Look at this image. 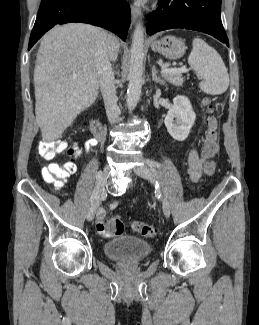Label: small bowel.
I'll list each match as a JSON object with an SVG mask.
<instances>
[{
  "instance_id": "obj_1",
  "label": "small bowel",
  "mask_w": 259,
  "mask_h": 325,
  "mask_svg": "<svg viewBox=\"0 0 259 325\" xmlns=\"http://www.w3.org/2000/svg\"><path fill=\"white\" fill-rule=\"evenodd\" d=\"M96 144H97L96 139H89L86 142V150L89 151L92 147L96 146ZM206 161H207V159L200 157L196 150H191L189 152L188 160H187V165H188L187 171H188L190 179L193 182H196L200 179ZM50 165H52V164H50ZM50 165H48V166H50ZM48 166H46L42 169V175ZM112 206L115 207L116 203H113ZM105 215H106L105 209L100 208L97 212L96 228H97V231L101 235L107 236L108 233L105 228Z\"/></svg>"
}]
</instances>
